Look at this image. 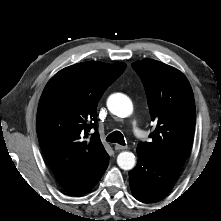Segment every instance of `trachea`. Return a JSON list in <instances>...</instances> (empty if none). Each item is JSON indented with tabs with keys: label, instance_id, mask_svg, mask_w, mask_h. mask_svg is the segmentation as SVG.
<instances>
[{
	"label": "trachea",
	"instance_id": "obj_1",
	"mask_svg": "<svg viewBox=\"0 0 221 221\" xmlns=\"http://www.w3.org/2000/svg\"><path fill=\"white\" fill-rule=\"evenodd\" d=\"M106 141L111 143H118L120 145H125L124 136L119 131H114L111 134H109L106 138Z\"/></svg>",
	"mask_w": 221,
	"mask_h": 221
}]
</instances>
